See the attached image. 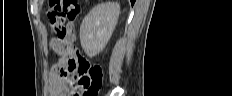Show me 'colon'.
I'll return each mask as SVG.
<instances>
[{
	"mask_svg": "<svg viewBox=\"0 0 232 96\" xmlns=\"http://www.w3.org/2000/svg\"><path fill=\"white\" fill-rule=\"evenodd\" d=\"M49 4L48 18L51 30L56 35L57 42L65 43L60 51L66 58L68 72L75 73V95L97 96L103 79L101 66L82 57L68 42L72 36L68 25L80 15V5L76 0H50Z\"/></svg>",
	"mask_w": 232,
	"mask_h": 96,
	"instance_id": "1",
	"label": "colon"
}]
</instances>
